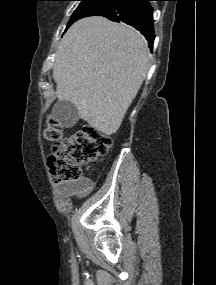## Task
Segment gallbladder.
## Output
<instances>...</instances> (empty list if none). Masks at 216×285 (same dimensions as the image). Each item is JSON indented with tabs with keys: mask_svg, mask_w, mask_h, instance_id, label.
Listing matches in <instances>:
<instances>
[{
	"mask_svg": "<svg viewBox=\"0 0 216 285\" xmlns=\"http://www.w3.org/2000/svg\"><path fill=\"white\" fill-rule=\"evenodd\" d=\"M53 118L62 124L64 127L74 126L78 119L79 114L76 106L70 101H58L52 111Z\"/></svg>",
	"mask_w": 216,
	"mask_h": 285,
	"instance_id": "obj_1",
	"label": "gallbladder"
}]
</instances>
